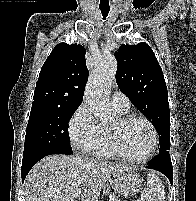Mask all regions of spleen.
<instances>
[{
  "mask_svg": "<svg viewBox=\"0 0 196 201\" xmlns=\"http://www.w3.org/2000/svg\"><path fill=\"white\" fill-rule=\"evenodd\" d=\"M143 201H165L164 186L158 176L150 173L147 179V187L142 192Z\"/></svg>",
  "mask_w": 196,
  "mask_h": 201,
  "instance_id": "1",
  "label": "spleen"
}]
</instances>
